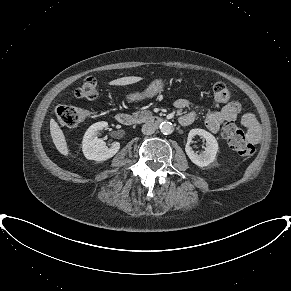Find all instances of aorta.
Listing matches in <instances>:
<instances>
[{
    "label": "aorta",
    "mask_w": 291,
    "mask_h": 291,
    "mask_svg": "<svg viewBox=\"0 0 291 291\" xmlns=\"http://www.w3.org/2000/svg\"><path fill=\"white\" fill-rule=\"evenodd\" d=\"M161 133L169 135L173 131V126L170 122H162L159 126Z\"/></svg>",
    "instance_id": "aorta-1"
}]
</instances>
